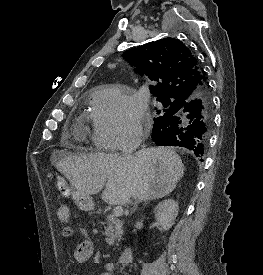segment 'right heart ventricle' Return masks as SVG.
Masks as SVG:
<instances>
[{
  "instance_id": "right-heart-ventricle-1",
  "label": "right heart ventricle",
  "mask_w": 263,
  "mask_h": 275,
  "mask_svg": "<svg viewBox=\"0 0 263 275\" xmlns=\"http://www.w3.org/2000/svg\"><path fill=\"white\" fill-rule=\"evenodd\" d=\"M85 132H86V128L84 127V125L82 123H80L79 129L77 132L78 136L83 137L85 135Z\"/></svg>"
}]
</instances>
